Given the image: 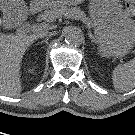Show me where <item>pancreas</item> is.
<instances>
[{"label": "pancreas", "mask_w": 135, "mask_h": 135, "mask_svg": "<svg viewBox=\"0 0 135 135\" xmlns=\"http://www.w3.org/2000/svg\"><path fill=\"white\" fill-rule=\"evenodd\" d=\"M65 4H67L68 6H73L75 3L71 0H66ZM66 14H75L79 18L86 19L85 13L81 11L79 8L71 7L70 9H67L65 5L61 8L55 7L50 10H45L43 13L39 15L38 19L50 23L56 19L65 16Z\"/></svg>", "instance_id": "cf45deb5"}]
</instances>
